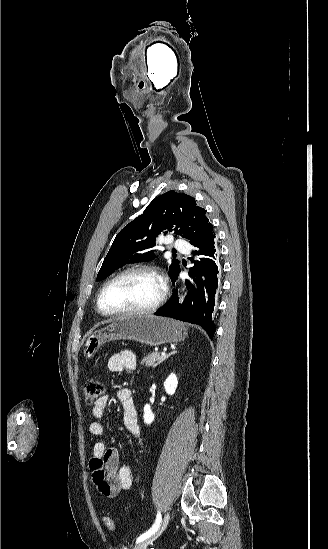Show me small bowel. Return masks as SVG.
Here are the masks:
<instances>
[{"mask_svg":"<svg viewBox=\"0 0 328 549\" xmlns=\"http://www.w3.org/2000/svg\"><path fill=\"white\" fill-rule=\"evenodd\" d=\"M137 366L136 355L128 350L113 354L107 362V368L111 372L134 370ZM119 402L124 411L123 421L125 428L133 436L139 438L141 428L138 421V412L128 388H120L117 393ZM109 403V396L102 395L98 398L93 407L92 415L101 420L106 415ZM93 421L89 425V432L96 437L104 434V426L100 421ZM91 477L97 490L107 498L116 497L121 491L128 490L133 484V472L127 465H121L119 451L115 447H106L105 443L98 439L92 449V457L89 460Z\"/></svg>","mask_w":328,"mask_h":549,"instance_id":"small-bowel-1","label":"small bowel"}]
</instances>
